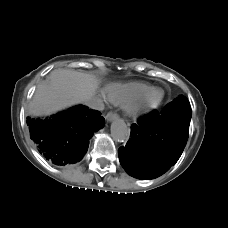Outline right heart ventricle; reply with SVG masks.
<instances>
[{"mask_svg":"<svg viewBox=\"0 0 228 228\" xmlns=\"http://www.w3.org/2000/svg\"><path fill=\"white\" fill-rule=\"evenodd\" d=\"M149 88L148 84L141 82L112 84L107 87L106 95L109 102L115 105H126Z\"/></svg>","mask_w":228,"mask_h":228,"instance_id":"1","label":"right heart ventricle"}]
</instances>
